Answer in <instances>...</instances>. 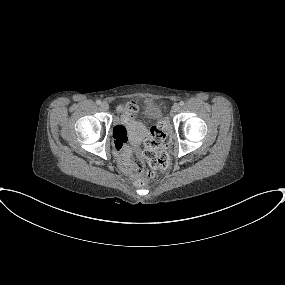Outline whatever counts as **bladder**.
Listing matches in <instances>:
<instances>
[{
	"instance_id": "1",
	"label": "bladder",
	"mask_w": 285,
	"mask_h": 285,
	"mask_svg": "<svg viewBox=\"0 0 285 285\" xmlns=\"http://www.w3.org/2000/svg\"><path fill=\"white\" fill-rule=\"evenodd\" d=\"M143 115L151 120H161L163 109L155 101H149L143 108ZM125 132L131 142L140 139L145 132V125L139 119L130 118L126 121Z\"/></svg>"
}]
</instances>
